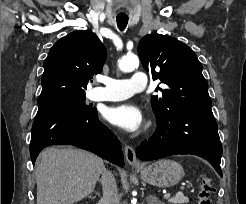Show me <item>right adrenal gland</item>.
<instances>
[{"instance_id": "right-adrenal-gland-1", "label": "right adrenal gland", "mask_w": 246, "mask_h": 204, "mask_svg": "<svg viewBox=\"0 0 246 204\" xmlns=\"http://www.w3.org/2000/svg\"><path fill=\"white\" fill-rule=\"evenodd\" d=\"M97 193V195H99L100 196V193L99 192H96Z\"/></svg>"}]
</instances>
